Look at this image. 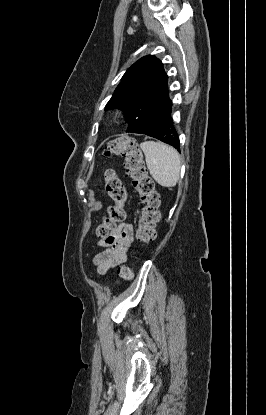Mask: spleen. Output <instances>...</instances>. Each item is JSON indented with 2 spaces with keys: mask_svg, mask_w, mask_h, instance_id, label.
Wrapping results in <instances>:
<instances>
[{
  "mask_svg": "<svg viewBox=\"0 0 266 415\" xmlns=\"http://www.w3.org/2000/svg\"><path fill=\"white\" fill-rule=\"evenodd\" d=\"M152 178L163 187H173L180 177L179 153L161 142L145 141L140 144Z\"/></svg>",
  "mask_w": 266,
  "mask_h": 415,
  "instance_id": "3e777b00",
  "label": "spleen"
}]
</instances>
